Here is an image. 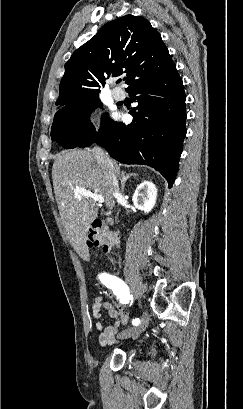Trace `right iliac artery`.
I'll return each instance as SVG.
<instances>
[{
  "instance_id": "1",
  "label": "right iliac artery",
  "mask_w": 243,
  "mask_h": 409,
  "mask_svg": "<svg viewBox=\"0 0 243 409\" xmlns=\"http://www.w3.org/2000/svg\"><path fill=\"white\" fill-rule=\"evenodd\" d=\"M100 281L109 289H112L114 294L120 298L121 302L128 303L133 297L130 295L128 286L118 277L107 273H101L99 275ZM140 320L138 318L133 319L132 324L138 325Z\"/></svg>"
}]
</instances>
